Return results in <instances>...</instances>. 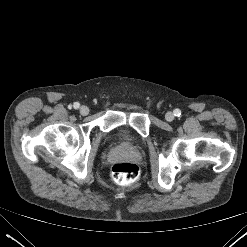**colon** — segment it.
<instances>
[{
	"mask_svg": "<svg viewBox=\"0 0 247 247\" xmlns=\"http://www.w3.org/2000/svg\"><path fill=\"white\" fill-rule=\"evenodd\" d=\"M112 177L120 185H130L138 180L139 168L131 162H120L112 167Z\"/></svg>",
	"mask_w": 247,
	"mask_h": 247,
	"instance_id": "obj_1",
	"label": "colon"
}]
</instances>
